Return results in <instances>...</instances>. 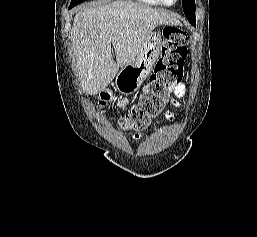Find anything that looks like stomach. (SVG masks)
Masks as SVG:
<instances>
[{
	"label": "stomach",
	"mask_w": 257,
	"mask_h": 237,
	"mask_svg": "<svg viewBox=\"0 0 257 237\" xmlns=\"http://www.w3.org/2000/svg\"><path fill=\"white\" fill-rule=\"evenodd\" d=\"M162 37L152 32L144 42L136 59L125 65L116 77V88L122 94L135 93L151 73L161 52Z\"/></svg>",
	"instance_id": "0dacf381"
}]
</instances>
